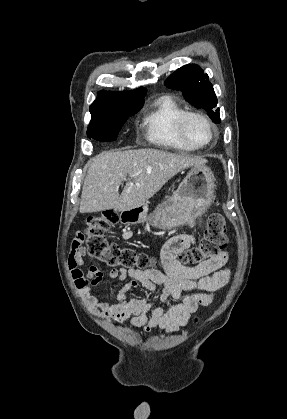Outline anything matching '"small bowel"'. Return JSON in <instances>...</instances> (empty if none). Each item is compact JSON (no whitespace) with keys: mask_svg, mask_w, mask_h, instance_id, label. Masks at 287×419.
I'll list each match as a JSON object with an SVG mask.
<instances>
[{"mask_svg":"<svg viewBox=\"0 0 287 419\" xmlns=\"http://www.w3.org/2000/svg\"><path fill=\"white\" fill-rule=\"evenodd\" d=\"M194 241L192 235L182 233L164 244L161 256L165 262V274L155 269L110 270L109 278L123 283L117 302L113 304L99 301L92 293V287L103 280V272L96 266L84 267L86 251L76 237L71 244L68 266L76 287L94 316L117 323L130 319L133 326L145 331L161 329L174 332L188 323L199 305H209L214 294L230 278V271L224 268L229 257L226 251L195 267L183 266L177 260L178 254ZM138 285H142L150 295L154 294L156 285H161L163 291L159 301L175 299L179 303L165 308L154 306L148 297L128 299V292Z\"/></svg>","mask_w":287,"mask_h":419,"instance_id":"obj_1","label":"small bowel"}]
</instances>
